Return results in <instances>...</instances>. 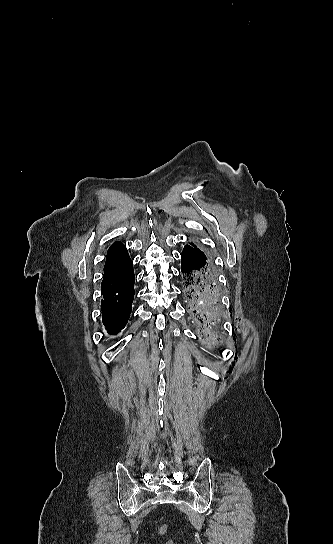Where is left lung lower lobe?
<instances>
[{"instance_id":"obj_1","label":"left lung lower lobe","mask_w":333,"mask_h":544,"mask_svg":"<svg viewBox=\"0 0 333 544\" xmlns=\"http://www.w3.org/2000/svg\"><path fill=\"white\" fill-rule=\"evenodd\" d=\"M184 297L190 316L204 341L216 343L221 331V304L216 271L197 248L186 245L181 254Z\"/></svg>"}]
</instances>
